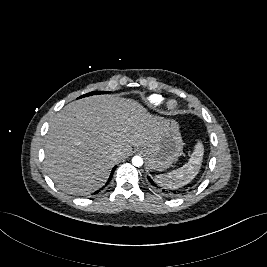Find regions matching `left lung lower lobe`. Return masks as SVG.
<instances>
[{"label": "left lung lower lobe", "mask_w": 267, "mask_h": 267, "mask_svg": "<svg viewBox=\"0 0 267 267\" xmlns=\"http://www.w3.org/2000/svg\"><path fill=\"white\" fill-rule=\"evenodd\" d=\"M150 184L154 187H156L157 189L161 190L162 193L170 195V196H174V195H178L181 194V191H176V190H168L163 188V186H161L157 181H154L151 177L147 176Z\"/></svg>", "instance_id": "left-lung-lower-lobe-1"}]
</instances>
